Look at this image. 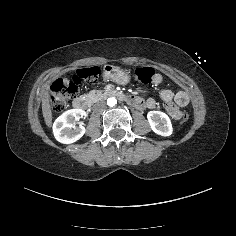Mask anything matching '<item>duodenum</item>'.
<instances>
[{"label":"duodenum","mask_w":236,"mask_h":236,"mask_svg":"<svg viewBox=\"0 0 236 236\" xmlns=\"http://www.w3.org/2000/svg\"><path fill=\"white\" fill-rule=\"evenodd\" d=\"M105 95L109 96V97H117L120 100L127 102L128 104H130L131 106H133L137 109H142L146 106V103L143 100H141L137 97L128 96L122 92L115 90V89L106 90ZM72 104L76 110H85L88 107V100L84 97H77L73 100Z\"/></svg>","instance_id":"obj_1"}]
</instances>
